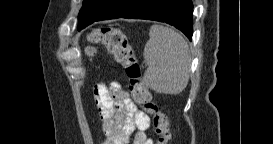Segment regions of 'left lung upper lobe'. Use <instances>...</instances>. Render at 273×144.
<instances>
[{
  "label": "left lung upper lobe",
  "mask_w": 273,
  "mask_h": 144,
  "mask_svg": "<svg viewBox=\"0 0 273 144\" xmlns=\"http://www.w3.org/2000/svg\"><path fill=\"white\" fill-rule=\"evenodd\" d=\"M92 1L93 0H84L82 8L93 6V4L91 3Z\"/></svg>",
  "instance_id": "obj_1"
}]
</instances>
